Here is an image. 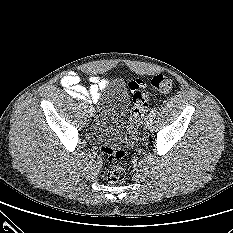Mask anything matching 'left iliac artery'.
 <instances>
[{
    "mask_svg": "<svg viewBox=\"0 0 233 233\" xmlns=\"http://www.w3.org/2000/svg\"><path fill=\"white\" fill-rule=\"evenodd\" d=\"M156 112H157V108H153V109H151V111H150V114H156Z\"/></svg>",
    "mask_w": 233,
    "mask_h": 233,
    "instance_id": "1",
    "label": "left iliac artery"
}]
</instances>
